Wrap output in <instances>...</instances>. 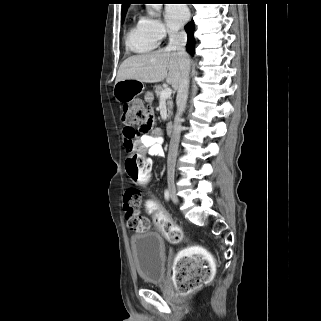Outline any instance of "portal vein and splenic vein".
<instances>
[{
    "mask_svg": "<svg viewBox=\"0 0 321 321\" xmlns=\"http://www.w3.org/2000/svg\"><path fill=\"white\" fill-rule=\"evenodd\" d=\"M171 94H172V90L167 87L163 89V91L161 92L160 99H167L171 96Z\"/></svg>",
    "mask_w": 321,
    "mask_h": 321,
    "instance_id": "18ae733b",
    "label": "portal vein and splenic vein"
}]
</instances>
